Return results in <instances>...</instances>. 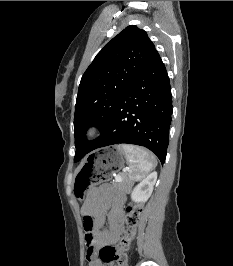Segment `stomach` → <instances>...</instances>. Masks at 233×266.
I'll list each match as a JSON object with an SVG mask.
<instances>
[{"label": "stomach", "mask_w": 233, "mask_h": 266, "mask_svg": "<svg viewBox=\"0 0 233 266\" xmlns=\"http://www.w3.org/2000/svg\"><path fill=\"white\" fill-rule=\"evenodd\" d=\"M125 154L119 146L95 147V152H89L87 161L77 168L73 194L82 199L93 185H102V180H113L125 163Z\"/></svg>", "instance_id": "stomach-1"}]
</instances>
